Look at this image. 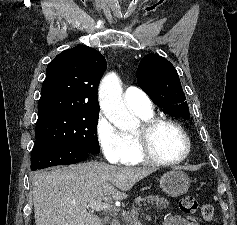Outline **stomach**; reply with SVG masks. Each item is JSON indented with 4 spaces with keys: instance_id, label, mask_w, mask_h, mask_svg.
I'll return each instance as SVG.
<instances>
[{
    "instance_id": "0dacf381",
    "label": "stomach",
    "mask_w": 237,
    "mask_h": 225,
    "mask_svg": "<svg viewBox=\"0 0 237 225\" xmlns=\"http://www.w3.org/2000/svg\"><path fill=\"white\" fill-rule=\"evenodd\" d=\"M159 182L162 190L173 197L187 193L191 185L189 176L185 172L177 169L163 174Z\"/></svg>"
}]
</instances>
